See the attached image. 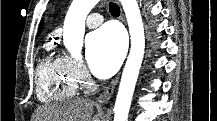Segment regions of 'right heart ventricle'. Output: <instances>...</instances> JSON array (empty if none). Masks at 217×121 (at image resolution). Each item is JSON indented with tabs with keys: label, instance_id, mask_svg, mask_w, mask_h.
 <instances>
[{
	"label": "right heart ventricle",
	"instance_id": "obj_1",
	"mask_svg": "<svg viewBox=\"0 0 217 121\" xmlns=\"http://www.w3.org/2000/svg\"><path fill=\"white\" fill-rule=\"evenodd\" d=\"M66 59L48 56L38 65L36 93L41 102H59L75 95L78 80Z\"/></svg>",
	"mask_w": 217,
	"mask_h": 121
}]
</instances>
